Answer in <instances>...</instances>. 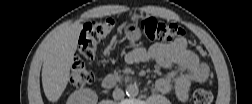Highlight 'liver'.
<instances>
[{"mask_svg": "<svg viewBox=\"0 0 252 104\" xmlns=\"http://www.w3.org/2000/svg\"><path fill=\"white\" fill-rule=\"evenodd\" d=\"M83 24L74 22L57 30L45 52L42 85L45 96L56 102L64 92Z\"/></svg>", "mask_w": 252, "mask_h": 104, "instance_id": "obj_1", "label": "liver"}]
</instances>
